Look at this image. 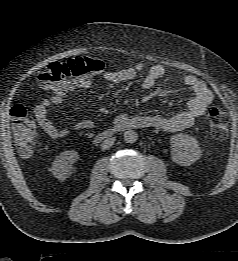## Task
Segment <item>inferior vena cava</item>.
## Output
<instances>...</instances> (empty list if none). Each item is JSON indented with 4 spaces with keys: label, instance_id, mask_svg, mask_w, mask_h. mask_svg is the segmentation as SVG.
I'll use <instances>...</instances> for the list:
<instances>
[{
    "label": "inferior vena cava",
    "instance_id": "1",
    "mask_svg": "<svg viewBox=\"0 0 238 261\" xmlns=\"http://www.w3.org/2000/svg\"><path fill=\"white\" fill-rule=\"evenodd\" d=\"M114 141H115L114 138L105 139V140L101 143V149H102V150H107V149H109V148L114 144Z\"/></svg>",
    "mask_w": 238,
    "mask_h": 261
}]
</instances>
